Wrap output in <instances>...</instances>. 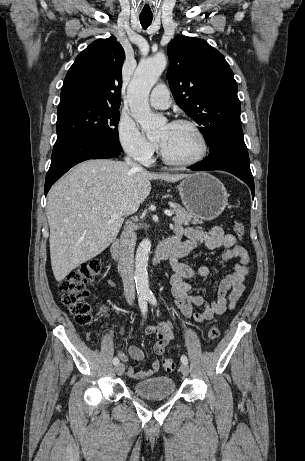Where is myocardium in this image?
<instances>
[{
  "mask_svg": "<svg viewBox=\"0 0 305 461\" xmlns=\"http://www.w3.org/2000/svg\"><path fill=\"white\" fill-rule=\"evenodd\" d=\"M170 124L171 125H186V126H189L190 128H192V130L196 133V135L198 136V138L200 140L201 150H200L199 154L195 158L190 159V160L181 161V160H175V159L171 158L170 156H168V154L165 152L162 144L159 143L160 155H161L163 161L166 162L169 165L177 166V167H191V166L197 165L201 161H203L204 158L207 156V153H208V141H207V138H206L204 132L200 128V126L195 121L190 120V119H184V118L176 119V120L172 121Z\"/></svg>",
  "mask_w": 305,
  "mask_h": 461,
  "instance_id": "f54148a6",
  "label": "myocardium"
}]
</instances>
